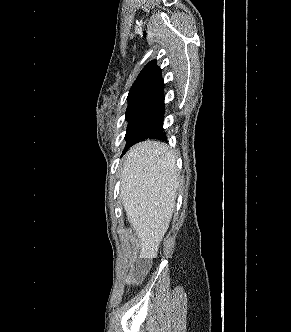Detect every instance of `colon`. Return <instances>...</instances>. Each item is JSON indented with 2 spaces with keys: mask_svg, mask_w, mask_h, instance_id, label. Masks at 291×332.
Masks as SVG:
<instances>
[{
  "mask_svg": "<svg viewBox=\"0 0 291 332\" xmlns=\"http://www.w3.org/2000/svg\"><path fill=\"white\" fill-rule=\"evenodd\" d=\"M145 271V266L144 265H140L139 267H137L133 278L130 279V282H137L138 280L141 279V277L143 276V273Z\"/></svg>",
  "mask_w": 291,
  "mask_h": 332,
  "instance_id": "obj_1",
  "label": "colon"
}]
</instances>
